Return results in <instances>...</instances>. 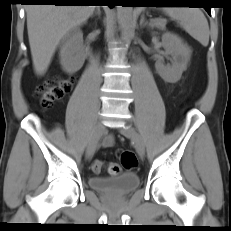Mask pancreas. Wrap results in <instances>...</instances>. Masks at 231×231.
I'll return each mask as SVG.
<instances>
[{
    "instance_id": "cf45deb5",
    "label": "pancreas",
    "mask_w": 231,
    "mask_h": 231,
    "mask_svg": "<svg viewBox=\"0 0 231 231\" xmlns=\"http://www.w3.org/2000/svg\"><path fill=\"white\" fill-rule=\"evenodd\" d=\"M153 25L157 28L164 29L166 25V20H154Z\"/></svg>"
}]
</instances>
